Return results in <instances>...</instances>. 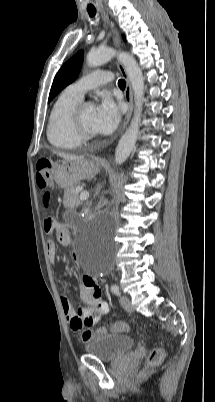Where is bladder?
I'll return each instance as SVG.
<instances>
[{
    "label": "bladder",
    "mask_w": 215,
    "mask_h": 402,
    "mask_svg": "<svg viewBox=\"0 0 215 402\" xmlns=\"http://www.w3.org/2000/svg\"><path fill=\"white\" fill-rule=\"evenodd\" d=\"M134 340L122 334H103L94 337L85 345L87 354L103 361H114L134 347Z\"/></svg>",
    "instance_id": "1"
}]
</instances>
